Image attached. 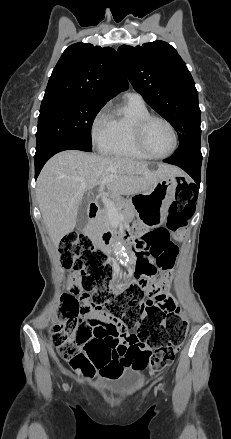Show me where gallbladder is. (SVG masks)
Segmentation results:
<instances>
[{
    "label": "gallbladder",
    "mask_w": 231,
    "mask_h": 439,
    "mask_svg": "<svg viewBox=\"0 0 231 439\" xmlns=\"http://www.w3.org/2000/svg\"><path fill=\"white\" fill-rule=\"evenodd\" d=\"M90 198L87 195H84L82 201L78 208L76 226L79 230L85 228L88 222L87 210L89 206Z\"/></svg>",
    "instance_id": "obj_1"
}]
</instances>
